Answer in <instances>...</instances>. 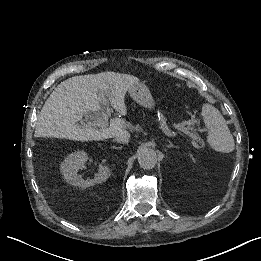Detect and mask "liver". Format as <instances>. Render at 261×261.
<instances>
[{"mask_svg": "<svg viewBox=\"0 0 261 261\" xmlns=\"http://www.w3.org/2000/svg\"><path fill=\"white\" fill-rule=\"evenodd\" d=\"M137 83L139 79L134 76L107 72L69 78L55 89L43 106L34 136L101 141L129 133L124 118H112L105 128L90 127V122L83 120H94L100 103L106 98L111 99L120 115L126 116L125 96Z\"/></svg>", "mask_w": 261, "mask_h": 261, "instance_id": "6515ba94", "label": "liver"}]
</instances>
